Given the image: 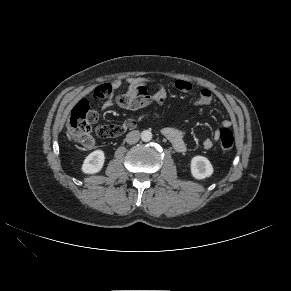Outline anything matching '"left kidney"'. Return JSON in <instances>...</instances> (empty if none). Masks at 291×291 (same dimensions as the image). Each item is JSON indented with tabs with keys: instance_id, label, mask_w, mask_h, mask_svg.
I'll return each mask as SVG.
<instances>
[{
	"instance_id": "left-kidney-1",
	"label": "left kidney",
	"mask_w": 291,
	"mask_h": 291,
	"mask_svg": "<svg viewBox=\"0 0 291 291\" xmlns=\"http://www.w3.org/2000/svg\"><path fill=\"white\" fill-rule=\"evenodd\" d=\"M213 166L210 161L203 156H195L191 160V174L195 179L201 180L213 174Z\"/></svg>"
}]
</instances>
